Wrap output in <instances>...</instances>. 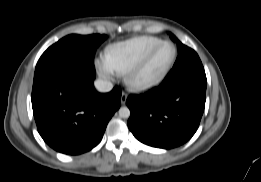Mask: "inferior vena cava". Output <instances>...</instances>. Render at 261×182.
I'll list each match as a JSON object with an SVG mask.
<instances>
[{
	"label": "inferior vena cava",
	"instance_id": "1",
	"mask_svg": "<svg viewBox=\"0 0 261 182\" xmlns=\"http://www.w3.org/2000/svg\"><path fill=\"white\" fill-rule=\"evenodd\" d=\"M94 85L100 92H109L113 89V84L108 80L98 79L94 82Z\"/></svg>",
	"mask_w": 261,
	"mask_h": 182
}]
</instances>
